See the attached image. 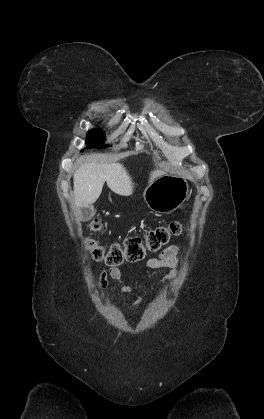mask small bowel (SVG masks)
Instances as JSON below:
<instances>
[{"instance_id":"obj_1","label":"small bowel","mask_w":264,"mask_h":419,"mask_svg":"<svg viewBox=\"0 0 264 419\" xmlns=\"http://www.w3.org/2000/svg\"><path fill=\"white\" fill-rule=\"evenodd\" d=\"M178 252L179 248L175 245H172L165 249L158 257L150 258L147 260L146 264L149 268L159 269V268H170L172 271L166 275L160 283H165L173 279L176 275V267L178 263ZM108 275L117 281L120 285V290L122 292H131L137 289L139 286H128L123 283L121 272L118 268H111L109 271L103 270L100 274L99 285L102 288L107 287L108 285ZM141 301L135 303L130 307V309H135Z\"/></svg>"}]
</instances>
